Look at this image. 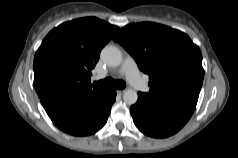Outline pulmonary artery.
<instances>
[{
    "instance_id": "e3ab8cb5",
    "label": "pulmonary artery",
    "mask_w": 238,
    "mask_h": 158,
    "mask_svg": "<svg viewBox=\"0 0 238 158\" xmlns=\"http://www.w3.org/2000/svg\"><path fill=\"white\" fill-rule=\"evenodd\" d=\"M119 73L124 74L129 82L137 89L145 90V85L141 79L140 72L137 66V63L135 60L127 56L125 57L120 69ZM99 77H95V79H98Z\"/></svg>"
}]
</instances>
